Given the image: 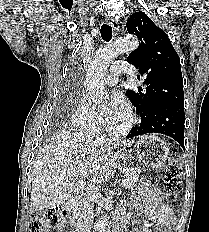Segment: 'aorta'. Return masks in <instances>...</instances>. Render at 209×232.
Wrapping results in <instances>:
<instances>
[{"label": "aorta", "instance_id": "aorta-1", "mask_svg": "<svg viewBox=\"0 0 209 232\" xmlns=\"http://www.w3.org/2000/svg\"><path fill=\"white\" fill-rule=\"evenodd\" d=\"M139 45L138 39L133 35H125L115 40L110 46L98 51L91 61L86 75V89L95 104L104 107L103 100L107 98L103 78L112 60L119 54L135 50ZM108 218L101 217L95 225L94 232L107 231Z\"/></svg>", "mask_w": 209, "mask_h": 232}]
</instances>
